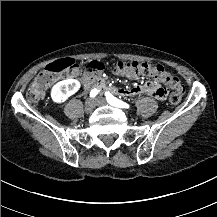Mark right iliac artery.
<instances>
[{"label":"right iliac artery","mask_w":217,"mask_h":217,"mask_svg":"<svg viewBox=\"0 0 217 217\" xmlns=\"http://www.w3.org/2000/svg\"><path fill=\"white\" fill-rule=\"evenodd\" d=\"M99 90L97 89H92L90 92V97L94 98L98 94Z\"/></svg>","instance_id":"1"}]
</instances>
